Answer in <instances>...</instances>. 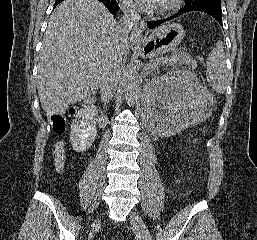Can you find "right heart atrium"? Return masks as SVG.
Masks as SVG:
<instances>
[{"label": "right heart atrium", "mask_w": 257, "mask_h": 240, "mask_svg": "<svg viewBox=\"0 0 257 240\" xmlns=\"http://www.w3.org/2000/svg\"><path fill=\"white\" fill-rule=\"evenodd\" d=\"M121 7L129 15H134L136 12L135 7L131 4V2L129 0H122Z\"/></svg>", "instance_id": "d8ad5b80"}]
</instances>
